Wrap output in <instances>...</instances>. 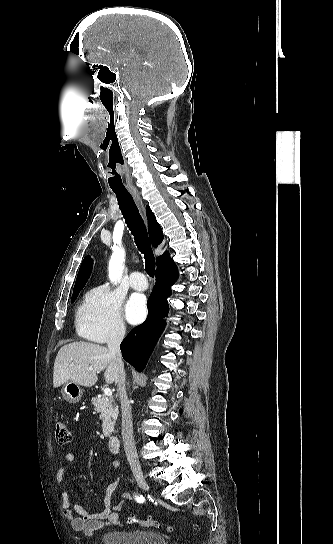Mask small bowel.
Here are the masks:
<instances>
[{
    "instance_id": "obj_1",
    "label": "small bowel",
    "mask_w": 333,
    "mask_h": 544,
    "mask_svg": "<svg viewBox=\"0 0 333 544\" xmlns=\"http://www.w3.org/2000/svg\"><path fill=\"white\" fill-rule=\"evenodd\" d=\"M74 461V455L72 453H65L59 463L56 473V479L61 486L60 496L62 502V508L65 517L70 521L71 526L76 531H82L87 535L107 528L117 527L122 524L121 510L124 508L127 501L132 500V495L129 492H122V502L112 504L111 497L116 491L121 478L117 477L112 483H110L106 489V495L104 499V509L101 512H94L86 510L78 503L72 502L69 497L68 491L63 487L64 475L66 468ZM110 466L113 469L120 467V461L112 459Z\"/></svg>"
}]
</instances>
